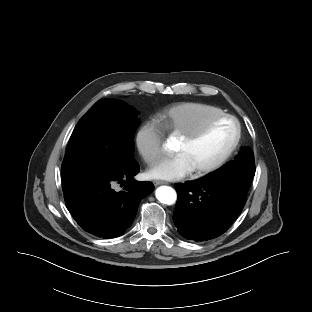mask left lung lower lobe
<instances>
[{"mask_svg":"<svg viewBox=\"0 0 312 312\" xmlns=\"http://www.w3.org/2000/svg\"><path fill=\"white\" fill-rule=\"evenodd\" d=\"M173 221L188 240L206 241L224 233L241 213L247 194L221 177L176 184Z\"/></svg>","mask_w":312,"mask_h":312,"instance_id":"obj_1","label":"left lung lower lobe"}]
</instances>
